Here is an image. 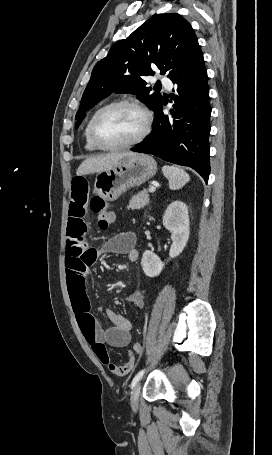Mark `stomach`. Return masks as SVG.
Here are the masks:
<instances>
[{
  "instance_id": "stomach-1",
  "label": "stomach",
  "mask_w": 272,
  "mask_h": 455,
  "mask_svg": "<svg viewBox=\"0 0 272 455\" xmlns=\"http://www.w3.org/2000/svg\"><path fill=\"white\" fill-rule=\"evenodd\" d=\"M157 163L150 155L134 154L116 167L97 174L94 192L105 201H114L127 189L139 186L153 177Z\"/></svg>"
}]
</instances>
